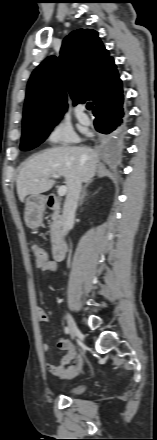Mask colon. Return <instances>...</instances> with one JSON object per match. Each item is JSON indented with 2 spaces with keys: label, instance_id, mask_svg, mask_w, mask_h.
<instances>
[{
  "label": "colon",
  "instance_id": "1",
  "mask_svg": "<svg viewBox=\"0 0 157 440\" xmlns=\"http://www.w3.org/2000/svg\"><path fill=\"white\" fill-rule=\"evenodd\" d=\"M32 251L35 256L36 266L38 269H43L50 262L46 251L38 244H33Z\"/></svg>",
  "mask_w": 157,
  "mask_h": 440
}]
</instances>
